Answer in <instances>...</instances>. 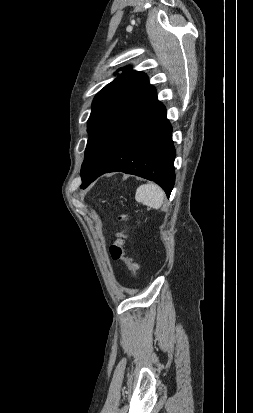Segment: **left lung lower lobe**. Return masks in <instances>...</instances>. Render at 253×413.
<instances>
[{
  "label": "left lung lower lobe",
  "mask_w": 253,
  "mask_h": 413,
  "mask_svg": "<svg viewBox=\"0 0 253 413\" xmlns=\"http://www.w3.org/2000/svg\"><path fill=\"white\" fill-rule=\"evenodd\" d=\"M174 159L172 128L166 109L159 102L101 168L82 182L81 188H86L104 173L121 171L156 182L169 197L175 182Z\"/></svg>",
  "instance_id": "0a47b994"
}]
</instances>
